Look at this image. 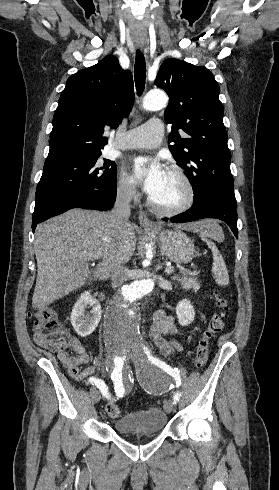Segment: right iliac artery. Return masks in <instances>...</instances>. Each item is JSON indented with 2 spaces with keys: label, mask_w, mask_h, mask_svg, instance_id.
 <instances>
[{
  "label": "right iliac artery",
  "mask_w": 279,
  "mask_h": 490,
  "mask_svg": "<svg viewBox=\"0 0 279 490\" xmlns=\"http://www.w3.org/2000/svg\"><path fill=\"white\" fill-rule=\"evenodd\" d=\"M112 358L114 359L113 360V363L115 365V368L111 374V378L112 380L114 381V389H115V392L118 394L119 397H124V389H125V381L123 378H120L121 377V369H122V366L124 365L125 363V355L124 354H119L118 352H115L113 355H112ZM90 381L93 383V385L97 386L102 395L105 396L106 398H110V395L108 393V387L106 386V384L104 383V381H102L101 377L99 376H96V377H91L90 378ZM89 380H85L84 381V384L85 385H89L91 386L92 384L90 383Z\"/></svg>",
  "instance_id": "82829eb1"
}]
</instances>
